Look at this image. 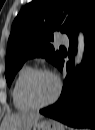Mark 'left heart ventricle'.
<instances>
[{
    "label": "left heart ventricle",
    "mask_w": 95,
    "mask_h": 130,
    "mask_svg": "<svg viewBox=\"0 0 95 130\" xmlns=\"http://www.w3.org/2000/svg\"><path fill=\"white\" fill-rule=\"evenodd\" d=\"M55 80L48 74H38L28 86V95L35 103H44L50 100L56 93Z\"/></svg>",
    "instance_id": "left-heart-ventricle-1"
}]
</instances>
